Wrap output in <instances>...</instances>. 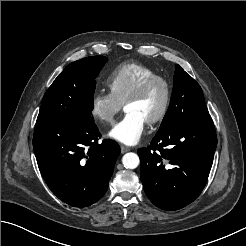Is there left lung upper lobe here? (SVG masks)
<instances>
[{
	"label": "left lung upper lobe",
	"instance_id": "left-lung-upper-lobe-1",
	"mask_svg": "<svg viewBox=\"0 0 246 246\" xmlns=\"http://www.w3.org/2000/svg\"><path fill=\"white\" fill-rule=\"evenodd\" d=\"M208 114L201 87L176 64L170 105L157 134L165 132L176 122Z\"/></svg>",
	"mask_w": 246,
	"mask_h": 246
}]
</instances>
